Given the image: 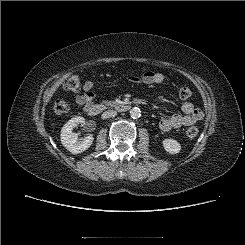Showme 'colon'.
<instances>
[{"label": "colon", "instance_id": "1", "mask_svg": "<svg viewBox=\"0 0 245 245\" xmlns=\"http://www.w3.org/2000/svg\"><path fill=\"white\" fill-rule=\"evenodd\" d=\"M82 87V79L80 75L73 74L70 76L64 84V88L68 91L78 92ZM192 95V91L188 87H182L179 90V96L182 99H187ZM55 113L63 114L69 111L70 104L65 99H57L53 107ZM186 135L189 138H194L198 135V129L196 127H190L186 130Z\"/></svg>", "mask_w": 245, "mask_h": 245}]
</instances>
